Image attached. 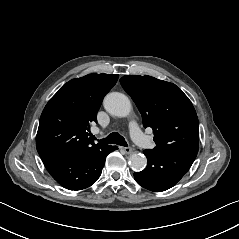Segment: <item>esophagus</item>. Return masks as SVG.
<instances>
[{
  "label": "esophagus",
  "instance_id": "obj_1",
  "mask_svg": "<svg viewBox=\"0 0 239 239\" xmlns=\"http://www.w3.org/2000/svg\"><path fill=\"white\" fill-rule=\"evenodd\" d=\"M122 149L124 150L126 154H130L133 150L131 147H122Z\"/></svg>",
  "mask_w": 239,
  "mask_h": 239
}]
</instances>
